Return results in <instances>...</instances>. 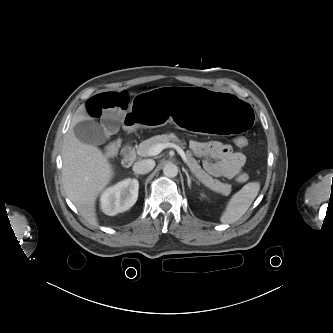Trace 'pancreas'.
<instances>
[{
	"mask_svg": "<svg viewBox=\"0 0 333 333\" xmlns=\"http://www.w3.org/2000/svg\"><path fill=\"white\" fill-rule=\"evenodd\" d=\"M175 142L179 145H184L173 133L170 134H162L153 136L139 144L137 147V154L140 156H149V150L151 147L159 144V143H168V142ZM187 163L192 172V174L206 187L210 188L211 190L221 193L222 195H229L231 192V185L221 183L217 179H213L207 172H205L201 166L198 164L196 159L192 156L190 151L187 152Z\"/></svg>",
	"mask_w": 333,
	"mask_h": 333,
	"instance_id": "1",
	"label": "pancreas"
}]
</instances>
